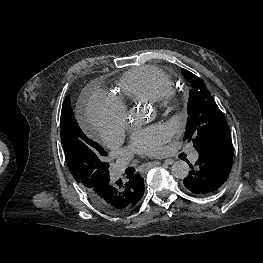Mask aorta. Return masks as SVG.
<instances>
[{
    "label": "aorta",
    "instance_id": "aorta-1",
    "mask_svg": "<svg viewBox=\"0 0 263 263\" xmlns=\"http://www.w3.org/2000/svg\"><path fill=\"white\" fill-rule=\"evenodd\" d=\"M171 170L174 177L184 179L188 176L190 168L185 161H176Z\"/></svg>",
    "mask_w": 263,
    "mask_h": 263
}]
</instances>
